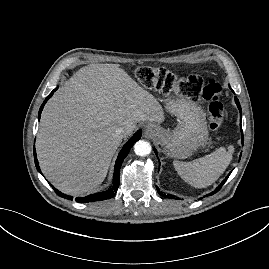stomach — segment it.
I'll return each mask as SVG.
<instances>
[{"instance_id": "1", "label": "stomach", "mask_w": 269, "mask_h": 269, "mask_svg": "<svg viewBox=\"0 0 269 269\" xmlns=\"http://www.w3.org/2000/svg\"><path fill=\"white\" fill-rule=\"evenodd\" d=\"M166 110L175 115L178 125L172 131L154 126L155 138L171 158H188L208 140L205 113L195 102L186 99H169Z\"/></svg>"}]
</instances>
